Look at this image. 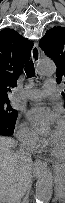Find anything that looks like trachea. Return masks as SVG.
I'll list each match as a JSON object with an SVG mask.
<instances>
[{"instance_id": "obj_1", "label": "trachea", "mask_w": 65, "mask_h": 203, "mask_svg": "<svg viewBox=\"0 0 65 203\" xmlns=\"http://www.w3.org/2000/svg\"><path fill=\"white\" fill-rule=\"evenodd\" d=\"M25 73L29 78H31L35 75V69H34L33 61H28L25 64Z\"/></svg>"}]
</instances>
